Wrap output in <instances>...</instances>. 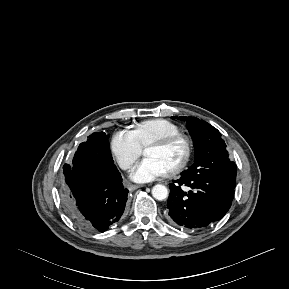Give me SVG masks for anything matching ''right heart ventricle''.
Returning a JSON list of instances; mask_svg holds the SVG:
<instances>
[{
	"label": "right heart ventricle",
	"instance_id": "1",
	"mask_svg": "<svg viewBox=\"0 0 289 289\" xmlns=\"http://www.w3.org/2000/svg\"><path fill=\"white\" fill-rule=\"evenodd\" d=\"M141 147H147L155 140L180 133L179 127L166 119H149L134 126L132 130Z\"/></svg>",
	"mask_w": 289,
	"mask_h": 289
}]
</instances>
